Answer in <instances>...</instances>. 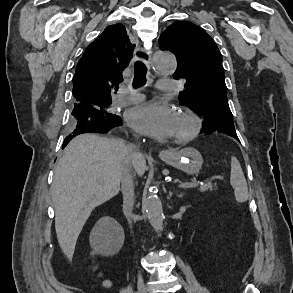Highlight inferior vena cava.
I'll use <instances>...</instances> for the list:
<instances>
[{"label":"inferior vena cava","instance_id":"inferior-vena-cava-1","mask_svg":"<svg viewBox=\"0 0 293 293\" xmlns=\"http://www.w3.org/2000/svg\"><path fill=\"white\" fill-rule=\"evenodd\" d=\"M129 154L122 164L120 171V182L122 186L123 205L126 211V216L129 224L132 223L131 216L134 205V180L132 170L134 167V160L140 156L132 148H128Z\"/></svg>","mask_w":293,"mask_h":293}]
</instances>
